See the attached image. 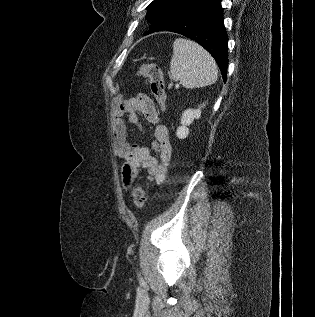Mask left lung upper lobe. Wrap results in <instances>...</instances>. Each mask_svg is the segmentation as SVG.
Wrapping results in <instances>:
<instances>
[{"label":"left lung upper lobe","instance_id":"left-lung-upper-lobe-1","mask_svg":"<svg viewBox=\"0 0 315 317\" xmlns=\"http://www.w3.org/2000/svg\"><path fill=\"white\" fill-rule=\"evenodd\" d=\"M199 0H154L147 9L151 27L146 34L167 30Z\"/></svg>","mask_w":315,"mask_h":317}]
</instances>
